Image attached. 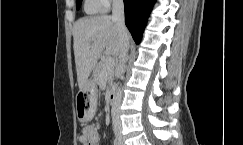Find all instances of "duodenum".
<instances>
[{
  "mask_svg": "<svg viewBox=\"0 0 243 145\" xmlns=\"http://www.w3.org/2000/svg\"><path fill=\"white\" fill-rule=\"evenodd\" d=\"M115 99H116L115 89L114 88H111L110 91H109V93H108V101L112 105V104H114Z\"/></svg>",
  "mask_w": 243,
  "mask_h": 145,
  "instance_id": "1",
  "label": "duodenum"
}]
</instances>
